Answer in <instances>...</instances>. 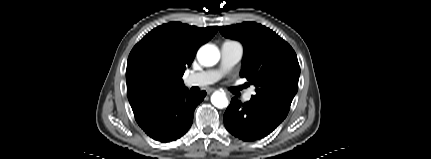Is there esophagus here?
I'll return each instance as SVG.
<instances>
[{
    "mask_svg": "<svg viewBox=\"0 0 431 159\" xmlns=\"http://www.w3.org/2000/svg\"><path fill=\"white\" fill-rule=\"evenodd\" d=\"M215 91V89L214 88H209V89H207V93L208 94H210V93H212V92H214Z\"/></svg>",
    "mask_w": 431,
    "mask_h": 159,
    "instance_id": "34e87169",
    "label": "esophagus"
}]
</instances>
